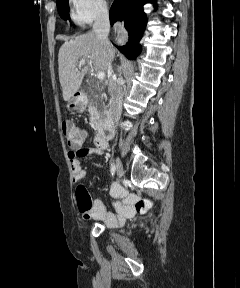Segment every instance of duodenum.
<instances>
[{"instance_id": "410a0bca", "label": "duodenum", "mask_w": 240, "mask_h": 288, "mask_svg": "<svg viewBox=\"0 0 240 288\" xmlns=\"http://www.w3.org/2000/svg\"><path fill=\"white\" fill-rule=\"evenodd\" d=\"M80 102L84 101L83 96H78ZM93 123L97 127L99 134L96 138V144L101 148H107L109 142L110 122L107 114L104 112H96L93 115Z\"/></svg>"}]
</instances>
